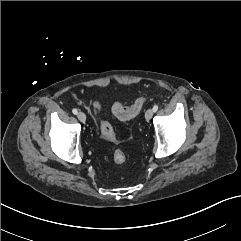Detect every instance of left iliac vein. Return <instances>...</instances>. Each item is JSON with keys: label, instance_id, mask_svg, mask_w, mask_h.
Masks as SVG:
<instances>
[{"label": "left iliac vein", "instance_id": "4c4485c4", "mask_svg": "<svg viewBox=\"0 0 241 241\" xmlns=\"http://www.w3.org/2000/svg\"><path fill=\"white\" fill-rule=\"evenodd\" d=\"M153 114H154L153 109H148V110L145 112V118H146V120H150V119L153 117Z\"/></svg>", "mask_w": 241, "mask_h": 241}]
</instances>
